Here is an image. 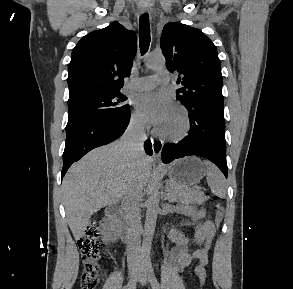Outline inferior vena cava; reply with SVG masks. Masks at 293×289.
<instances>
[{"label":"inferior vena cava","instance_id":"inferior-vena-cava-1","mask_svg":"<svg viewBox=\"0 0 293 289\" xmlns=\"http://www.w3.org/2000/svg\"><path fill=\"white\" fill-rule=\"evenodd\" d=\"M146 140L145 124L142 121L131 122L125 131L122 142L127 151L134 155L144 152L143 143ZM142 198V188L132 181L126 188L123 198V206L126 212L128 224L127 257L129 261L137 263L140 259L141 240V212L139 202Z\"/></svg>","mask_w":293,"mask_h":289}]
</instances>
